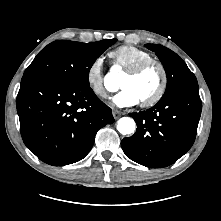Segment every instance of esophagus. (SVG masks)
Listing matches in <instances>:
<instances>
[{
	"instance_id": "esophagus-1",
	"label": "esophagus",
	"mask_w": 221,
	"mask_h": 221,
	"mask_svg": "<svg viewBox=\"0 0 221 221\" xmlns=\"http://www.w3.org/2000/svg\"><path fill=\"white\" fill-rule=\"evenodd\" d=\"M121 115H122V112L121 111H119V110H113V117L115 118V119H118L119 117H121Z\"/></svg>"
}]
</instances>
